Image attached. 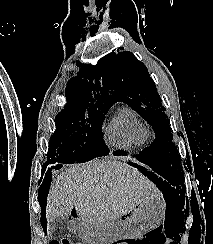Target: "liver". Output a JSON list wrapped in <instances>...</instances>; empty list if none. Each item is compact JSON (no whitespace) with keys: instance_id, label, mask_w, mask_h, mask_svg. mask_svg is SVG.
<instances>
[{"instance_id":"6515ba94","label":"liver","mask_w":213,"mask_h":244,"mask_svg":"<svg viewBox=\"0 0 213 244\" xmlns=\"http://www.w3.org/2000/svg\"><path fill=\"white\" fill-rule=\"evenodd\" d=\"M157 188L138 169L118 161L72 165L53 179L46 201V218L53 222L73 208L84 222L111 232L116 218L137 203L155 200Z\"/></svg>"}]
</instances>
